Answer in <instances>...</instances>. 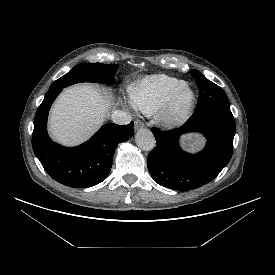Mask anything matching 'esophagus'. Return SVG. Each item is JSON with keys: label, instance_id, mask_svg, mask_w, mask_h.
Masks as SVG:
<instances>
[{"label": "esophagus", "instance_id": "esophagus-1", "mask_svg": "<svg viewBox=\"0 0 275 275\" xmlns=\"http://www.w3.org/2000/svg\"><path fill=\"white\" fill-rule=\"evenodd\" d=\"M143 127H144L143 122H141L140 120L135 121V126H134L135 130H138V129L143 128Z\"/></svg>", "mask_w": 275, "mask_h": 275}]
</instances>
